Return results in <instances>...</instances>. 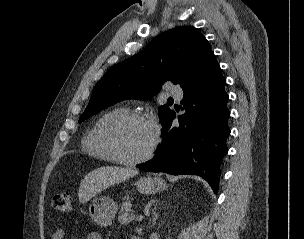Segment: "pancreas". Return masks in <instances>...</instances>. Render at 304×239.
I'll list each match as a JSON object with an SVG mask.
<instances>
[{"instance_id":"pancreas-1","label":"pancreas","mask_w":304,"mask_h":239,"mask_svg":"<svg viewBox=\"0 0 304 239\" xmlns=\"http://www.w3.org/2000/svg\"><path fill=\"white\" fill-rule=\"evenodd\" d=\"M134 219L133 211L131 209L130 202H124L121 205V210L119 212L118 221L120 224H129Z\"/></svg>"}]
</instances>
